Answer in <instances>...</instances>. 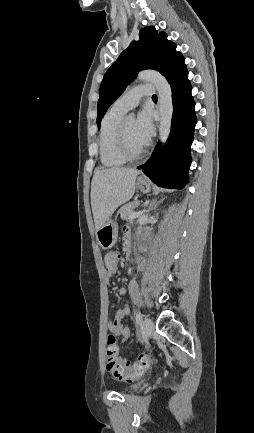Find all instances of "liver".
I'll use <instances>...</instances> for the list:
<instances>
[{"instance_id": "6515ba94", "label": "liver", "mask_w": 254, "mask_h": 433, "mask_svg": "<svg viewBox=\"0 0 254 433\" xmlns=\"http://www.w3.org/2000/svg\"><path fill=\"white\" fill-rule=\"evenodd\" d=\"M139 174L136 169L122 167L95 171L91 182V206L96 231L120 205L132 198Z\"/></svg>"}]
</instances>
